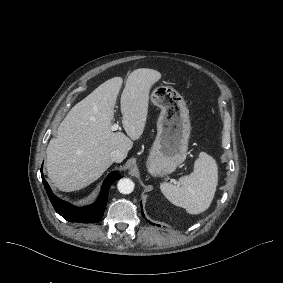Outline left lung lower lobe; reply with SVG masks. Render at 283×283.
Masks as SVG:
<instances>
[{"label":"left lung lower lobe","mask_w":283,"mask_h":283,"mask_svg":"<svg viewBox=\"0 0 283 283\" xmlns=\"http://www.w3.org/2000/svg\"><path fill=\"white\" fill-rule=\"evenodd\" d=\"M141 211H142V205H141ZM142 215L144 216L143 211H142ZM151 224H152V223H151ZM157 226H159V225H157Z\"/></svg>","instance_id":"obj_1"}]
</instances>
